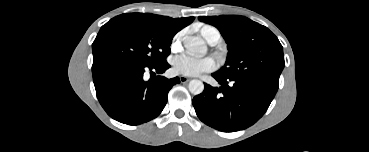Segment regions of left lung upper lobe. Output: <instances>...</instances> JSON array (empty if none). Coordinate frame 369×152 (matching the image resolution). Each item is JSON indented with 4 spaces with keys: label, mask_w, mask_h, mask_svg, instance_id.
<instances>
[{
    "label": "left lung upper lobe",
    "mask_w": 369,
    "mask_h": 152,
    "mask_svg": "<svg viewBox=\"0 0 369 152\" xmlns=\"http://www.w3.org/2000/svg\"><path fill=\"white\" fill-rule=\"evenodd\" d=\"M199 20L215 26L227 43V60L217 75L279 82L285 66L283 48L268 28L236 15L200 16Z\"/></svg>",
    "instance_id": "5c2ea615"
}]
</instances>
